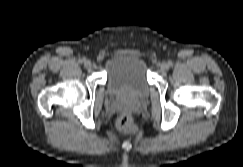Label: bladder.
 <instances>
[{"label":"bladder","instance_id":"bladder-1","mask_svg":"<svg viewBox=\"0 0 243 167\" xmlns=\"http://www.w3.org/2000/svg\"><path fill=\"white\" fill-rule=\"evenodd\" d=\"M110 93L128 99H139L148 94L149 84L145 62L137 56L118 55L106 65Z\"/></svg>","mask_w":243,"mask_h":167}]
</instances>
